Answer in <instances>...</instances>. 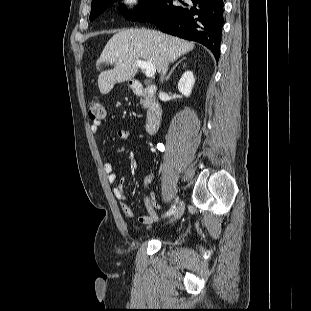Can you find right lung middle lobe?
<instances>
[{"label":"right lung middle lobe","instance_id":"1","mask_svg":"<svg viewBox=\"0 0 311 311\" xmlns=\"http://www.w3.org/2000/svg\"><path fill=\"white\" fill-rule=\"evenodd\" d=\"M117 0H95L91 3V13L90 20H94L99 16L106 8L111 6ZM160 0H139V5L134 9L133 12L127 13L123 12L126 19L136 20L144 16L148 11H150L154 6H156Z\"/></svg>","mask_w":311,"mask_h":311}]
</instances>
